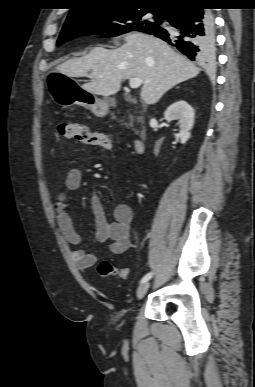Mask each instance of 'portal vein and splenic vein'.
<instances>
[{
    "mask_svg": "<svg viewBox=\"0 0 255 387\" xmlns=\"http://www.w3.org/2000/svg\"><path fill=\"white\" fill-rule=\"evenodd\" d=\"M143 80L141 78H130L129 85L132 89H136L141 86Z\"/></svg>",
    "mask_w": 255,
    "mask_h": 387,
    "instance_id": "18ae733b",
    "label": "portal vein and splenic vein"
}]
</instances>
